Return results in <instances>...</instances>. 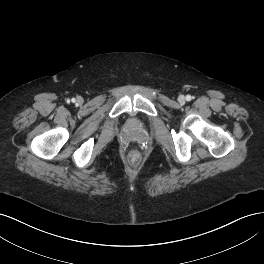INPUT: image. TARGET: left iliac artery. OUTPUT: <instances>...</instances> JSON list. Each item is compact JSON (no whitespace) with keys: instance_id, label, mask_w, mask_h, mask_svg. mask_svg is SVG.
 Listing matches in <instances>:
<instances>
[{"instance_id":"44dca946","label":"left iliac artery","mask_w":264,"mask_h":264,"mask_svg":"<svg viewBox=\"0 0 264 264\" xmlns=\"http://www.w3.org/2000/svg\"><path fill=\"white\" fill-rule=\"evenodd\" d=\"M191 99H192V97H191L190 95H187V96H186V100H187V101H190Z\"/></svg>"}]
</instances>
